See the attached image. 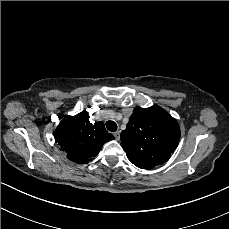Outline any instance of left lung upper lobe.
Returning <instances> with one entry per match:
<instances>
[{
  "mask_svg": "<svg viewBox=\"0 0 229 229\" xmlns=\"http://www.w3.org/2000/svg\"><path fill=\"white\" fill-rule=\"evenodd\" d=\"M179 140L178 122L157 105L135 108L121 133V146L127 157L142 169H152L166 162Z\"/></svg>",
  "mask_w": 229,
  "mask_h": 229,
  "instance_id": "obj_1",
  "label": "left lung upper lobe"
}]
</instances>
